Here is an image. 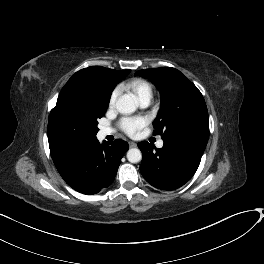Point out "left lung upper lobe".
Returning <instances> with one entry per match:
<instances>
[{
	"label": "left lung upper lobe",
	"instance_id": "left-lung-upper-lobe-1",
	"mask_svg": "<svg viewBox=\"0 0 264 264\" xmlns=\"http://www.w3.org/2000/svg\"><path fill=\"white\" fill-rule=\"evenodd\" d=\"M135 75L148 78L161 93V107L153 122L154 134L169 139L184 133L209 137L208 111L198 88L179 70L161 67L139 70Z\"/></svg>",
	"mask_w": 264,
	"mask_h": 264
}]
</instances>
